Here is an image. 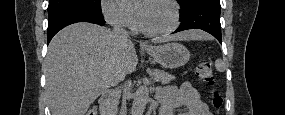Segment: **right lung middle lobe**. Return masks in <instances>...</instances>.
<instances>
[{
  "label": "right lung middle lobe",
  "instance_id": "dd1d6c3e",
  "mask_svg": "<svg viewBox=\"0 0 285 115\" xmlns=\"http://www.w3.org/2000/svg\"><path fill=\"white\" fill-rule=\"evenodd\" d=\"M100 0H49L48 15L51 16L66 9H84L102 12Z\"/></svg>",
  "mask_w": 285,
  "mask_h": 115
}]
</instances>
